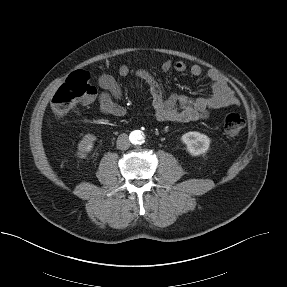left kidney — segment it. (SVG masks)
<instances>
[{"mask_svg":"<svg viewBox=\"0 0 287 287\" xmlns=\"http://www.w3.org/2000/svg\"><path fill=\"white\" fill-rule=\"evenodd\" d=\"M181 140L186 145L187 151L193 156L207 153L211 142L207 135L196 131L183 134Z\"/></svg>","mask_w":287,"mask_h":287,"instance_id":"1","label":"left kidney"}]
</instances>
